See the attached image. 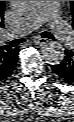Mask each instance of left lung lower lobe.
Segmentation results:
<instances>
[{
  "instance_id": "left-lung-lower-lobe-1",
  "label": "left lung lower lobe",
  "mask_w": 74,
  "mask_h": 122,
  "mask_svg": "<svg viewBox=\"0 0 74 122\" xmlns=\"http://www.w3.org/2000/svg\"><path fill=\"white\" fill-rule=\"evenodd\" d=\"M51 68L63 82L74 84V49L66 50L62 62Z\"/></svg>"
}]
</instances>
